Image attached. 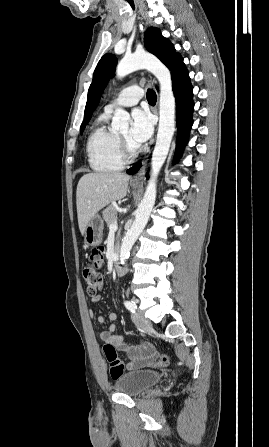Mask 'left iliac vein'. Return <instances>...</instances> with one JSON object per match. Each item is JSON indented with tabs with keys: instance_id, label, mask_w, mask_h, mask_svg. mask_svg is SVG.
<instances>
[{
	"instance_id": "1",
	"label": "left iliac vein",
	"mask_w": 269,
	"mask_h": 447,
	"mask_svg": "<svg viewBox=\"0 0 269 447\" xmlns=\"http://www.w3.org/2000/svg\"><path fill=\"white\" fill-rule=\"evenodd\" d=\"M132 320L133 322L141 328L150 327L151 323L150 321L143 315H140L136 312H132Z\"/></svg>"
}]
</instances>
